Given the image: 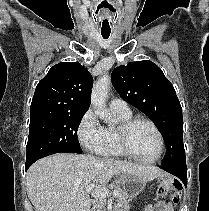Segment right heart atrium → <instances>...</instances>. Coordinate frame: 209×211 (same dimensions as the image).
Segmentation results:
<instances>
[{
    "instance_id": "obj_1",
    "label": "right heart atrium",
    "mask_w": 209,
    "mask_h": 211,
    "mask_svg": "<svg viewBox=\"0 0 209 211\" xmlns=\"http://www.w3.org/2000/svg\"><path fill=\"white\" fill-rule=\"evenodd\" d=\"M77 137L87 151L96 152L100 146L104 137V128L91 109L81 117L77 127Z\"/></svg>"
}]
</instances>
